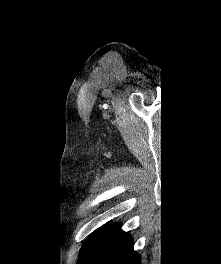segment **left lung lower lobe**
Instances as JSON below:
<instances>
[{
    "label": "left lung lower lobe",
    "mask_w": 221,
    "mask_h": 264,
    "mask_svg": "<svg viewBox=\"0 0 221 264\" xmlns=\"http://www.w3.org/2000/svg\"><path fill=\"white\" fill-rule=\"evenodd\" d=\"M78 264H141L133 239L119 224L96 230L83 244Z\"/></svg>",
    "instance_id": "0a47b994"
}]
</instances>
